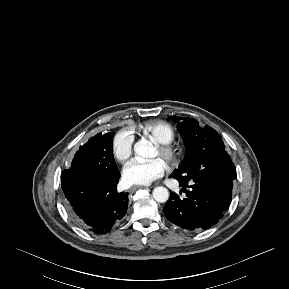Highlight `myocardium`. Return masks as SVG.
Masks as SVG:
<instances>
[{
    "label": "myocardium",
    "instance_id": "1",
    "mask_svg": "<svg viewBox=\"0 0 289 289\" xmlns=\"http://www.w3.org/2000/svg\"><path fill=\"white\" fill-rule=\"evenodd\" d=\"M156 148L168 167L173 168L180 163L181 151L173 143H157Z\"/></svg>",
    "mask_w": 289,
    "mask_h": 289
}]
</instances>
